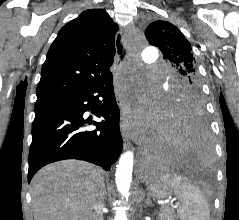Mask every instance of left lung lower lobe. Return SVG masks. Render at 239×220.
I'll use <instances>...</instances> for the list:
<instances>
[{
    "instance_id": "obj_1",
    "label": "left lung lower lobe",
    "mask_w": 239,
    "mask_h": 220,
    "mask_svg": "<svg viewBox=\"0 0 239 220\" xmlns=\"http://www.w3.org/2000/svg\"><path fill=\"white\" fill-rule=\"evenodd\" d=\"M166 140L149 167L196 164L212 157L205 113L198 109L180 112L167 108L164 115Z\"/></svg>"
}]
</instances>
